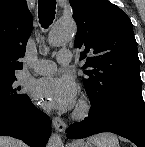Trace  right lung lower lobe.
<instances>
[{
    "label": "right lung lower lobe",
    "instance_id": "1",
    "mask_svg": "<svg viewBox=\"0 0 145 147\" xmlns=\"http://www.w3.org/2000/svg\"><path fill=\"white\" fill-rule=\"evenodd\" d=\"M50 135L49 117L29 97L21 106L0 108V136L21 139L31 147H45Z\"/></svg>",
    "mask_w": 145,
    "mask_h": 147
}]
</instances>
